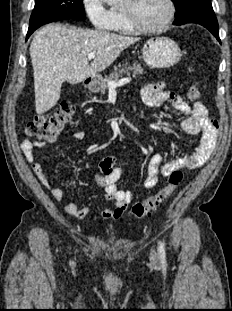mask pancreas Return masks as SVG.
I'll list each match as a JSON object with an SVG mask.
<instances>
[{
	"label": "pancreas",
	"mask_w": 232,
	"mask_h": 311,
	"mask_svg": "<svg viewBox=\"0 0 232 311\" xmlns=\"http://www.w3.org/2000/svg\"><path fill=\"white\" fill-rule=\"evenodd\" d=\"M132 72V75L135 77L136 75H142L143 74V69L139 65H130L128 63H125L121 69H115L108 77H105L101 79L100 83V92L101 94H104L107 87H108V82L110 81H118L120 77L123 75H130Z\"/></svg>",
	"instance_id": "obj_1"
}]
</instances>
